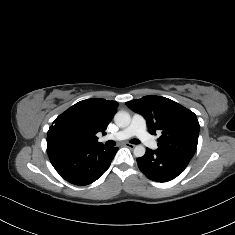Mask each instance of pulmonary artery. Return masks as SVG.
Returning <instances> with one entry per match:
<instances>
[{"mask_svg":"<svg viewBox=\"0 0 235 235\" xmlns=\"http://www.w3.org/2000/svg\"><path fill=\"white\" fill-rule=\"evenodd\" d=\"M137 136L147 142V145L155 149L156 145L150 140V135L147 132L146 120L140 114H134L127 127L124 129L105 135L101 138V141L113 140L123 141L131 137Z\"/></svg>","mask_w":235,"mask_h":235,"instance_id":"e3ab8cb5","label":"pulmonary artery"}]
</instances>
